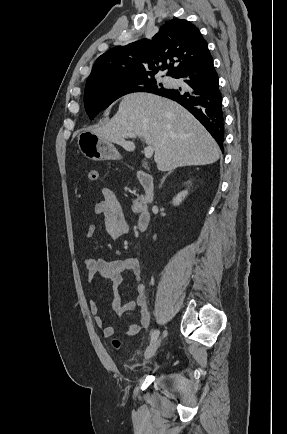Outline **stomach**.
I'll list each match as a JSON object with an SVG mask.
<instances>
[{"label": "stomach", "mask_w": 287, "mask_h": 434, "mask_svg": "<svg viewBox=\"0 0 287 434\" xmlns=\"http://www.w3.org/2000/svg\"><path fill=\"white\" fill-rule=\"evenodd\" d=\"M80 152L88 159L94 161L117 160L121 155L114 145L95 134L91 130L81 131L77 136Z\"/></svg>", "instance_id": "0dacf381"}]
</instances>
